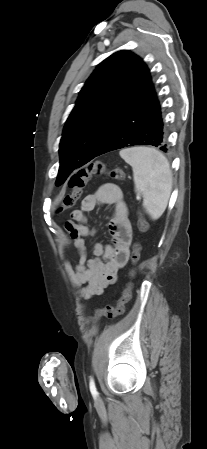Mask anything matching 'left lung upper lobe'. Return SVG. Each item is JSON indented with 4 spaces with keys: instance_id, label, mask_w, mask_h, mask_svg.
<instances>
[{
    "instance_id": "obj_1",
    "label": "left lung upper lobe",
    "mask_w": 207,
    "mask_h": 449,
    "mask_svg": "<svg viewBox=\"0 0 207 449\" xmlns=\"http://www.w3.org/2000/svg\"><path fill=\"white\" fill-rule=\"evenodd\" d=\"M151 84L148 68L129 51L116 52L97 66L65 124L56 185L95 157L110 132Z\"/></svg>"
}]
</instances>
